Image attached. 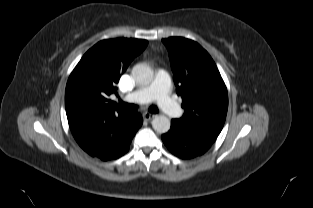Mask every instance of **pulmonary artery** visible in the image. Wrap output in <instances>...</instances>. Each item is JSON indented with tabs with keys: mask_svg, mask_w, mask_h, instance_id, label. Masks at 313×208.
<instances>
[{
	"mask_svg": "<svg viewBox=\"0 0 313 208\" xmlns=\"http://www.w3.org/2000/svg\"><path fill=\"white\" fill-rule=\"evenodd\" d=\"M156 99L159 106L170 117H179L181 107L171 97V80L164 70L156 72L154 82L127 95L126 100L133 103L144 104Z\"/></svg>",
	"mask_w": 313,
	"mask_h": 208,
	"instance_id": "e3ab8cb5",
	"label": "pulmonary artery"
}]
</instances>
